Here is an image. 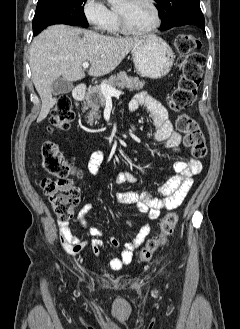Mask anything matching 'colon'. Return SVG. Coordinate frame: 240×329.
I'll use <instances>...</instances> for the list:
<instances>
[{"label":"colon","instance_id":"obj_1","mask_svg":"<svg viewBox=\"0 0 240 329\" xmlns=\"http://www.w3.org/2000/svg\"><path fill=\"white\" fill-rule=\"evenodd\" d=\"M180 54L177 64L181 77L175 89L168 96V104L175 112L189 108L197 97V91L202 81V69L205 57L198 51L199 41L191 34H179L175 41ZM74 120L71 100L67 95L57 99L51 113V125L60 130H66ZM177 129L184 136V143L195 158H204L207 154L204 135L197 121L187 115L180 114L177 119ZM43 169L54 176L45 178L42 188L47 196L53 212L60 221H68L80 202L79 191L71 186L70 177L80 175V171L71 166L64 158L57 145L46 141L41 146ZM178 222L176 212L168 213L161 220V233L158 237L148 240L142 248L139 261H149L155 251L164 245L172 235Z\"/></svg>","mask_w":240,"mask_h":329}]
</instances>
